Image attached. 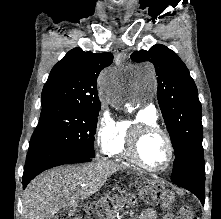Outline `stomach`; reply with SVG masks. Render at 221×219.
I'll return each mask as SVG.
<instances>
[{
  "label": "stomach",
  "mask_w": 221,
  "mask_h": 219,
  "mask_svg": "<svg viewBox=\"0 0 221 219\" xmlns=\"http://www.w3.org/2000/svg\"><path fill=\"white\" fill-rule=\"evenodd\" d=\"M140 183H147L144 186V204H165V199H170L171 190H165L160 178H140Z\"/></svg>",
  "instance_id": "1"
}]
</instances>
